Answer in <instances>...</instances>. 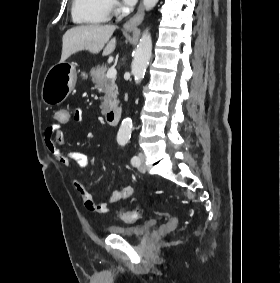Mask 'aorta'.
I'll return each instance as SVG.
<instances>
[{
    "mask_svg": "<svg viewBox=\"0 0 280 283\" xmlns=\"http://www.w3.org/2000/svg\"><path fill=\"white\" fill-rule=\"evenodd\" d=\"M159 0H143L145 9L151 10ZM152 53V39L148 32L144 33L137 46L134 59L132 61V74L136 84H139L144 78L147 66ZM132 131V120L126 118L122 121L117 134V141L124 144L128 141Z\"/></svg>",
    "mask_w": 280,
    "mask_h": 283,
    "instance_id": "762f6f07",
    "label": "aorta"
}]
</instances>
